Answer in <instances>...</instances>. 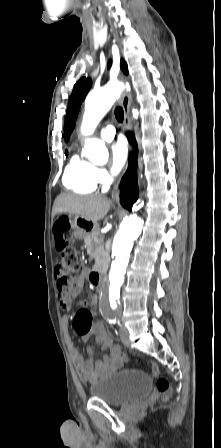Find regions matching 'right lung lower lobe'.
<instances>
[{
    "label": "right lung lower lobe",
    "mask_w": 221,
    "mask_h": 448,
    "mask_svg": "<svg viewBox=\"0 0 221 448\" xmlns=\"http://www.w3.org/2000/svg\"><path fill=\"white\" fill-rule=\"evenodd\" d=\"M128 139L135 146V153L129 160L128 170L122 178L121 181V195L120 203L123 207L128 210L132 209V205L138 199V184H137V147L133 135L128 132Z\"/></svg>",
    "instance_id": "98d812e1"
}]
</instances>
